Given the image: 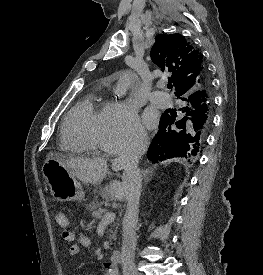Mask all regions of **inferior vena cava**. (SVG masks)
I'll return each mask as SVG.
<instances>
[{"label": "inferior vena cava", "mask_w": 263, "mask_h": 275, "mask_svg": "<svg viewBox=\"0 0 263 275\" xmlns=\"http://www.w3.org/2000/svg\"><path fill=\"white\" fill-rule=\"evenodd\" d=\"M148 145L147 135L141 133L129 142H126L115 159L116 164L124 169L123 179L127 186V209L123 219L121 256L123 275H137L134 256L137 242L136 226L138 223L142 182L138 162Z\"/></svg>", "instance_id": "inferior-vena-cava-1"}]
</instances>
